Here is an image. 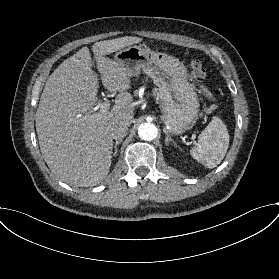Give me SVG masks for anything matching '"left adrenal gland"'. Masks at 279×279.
I'll list each match as a JSON object with an SVG mask.
<instances>
[{"label":"left adrenal gland","instance_id":"a2214340","mask_svg":"<svg viewBox=\"0 0 279 279\" xmlns=\"http://www.w3.org/2000/svg\"><path fill=\"white\" fill-rule=\"evenodd\" d=\"M169 142H173V144L177 146L176 142L167 134L165 138V144L168 145Z\"/></svg>","mask_w":279,"mask_h":279}]
</instances>
